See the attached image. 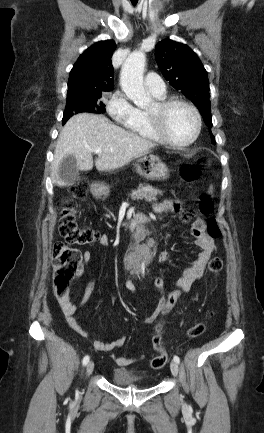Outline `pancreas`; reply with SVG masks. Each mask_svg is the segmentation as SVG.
Listing matches in <instances>:
<instances>
[{"mask_svg":"<svg viewBox=\"0 0 264 433\" xmlns=\"http://www.w3.org/2000/svg\"><path fill=\"white\" fill-rule=\"evenodd\" d=\"M158 194H162V191L150 186L149 184H140L139 187L136 190H133L130 195L133 200L144 199L147 202H151L157 200Z\"/></svg>","mask_w":264,"mask_h":433,"instance_id":"1","label":"pancreas"}]
</instances>
